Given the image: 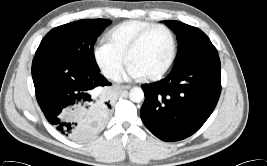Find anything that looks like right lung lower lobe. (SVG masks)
I'll list each match as a JSON object with an SVG mask.
<instances>
[{
	"mask_svg": "<svg viewBox=\"0 0 267 166\" xmlns=\"http://www.w3.org/2000/svg\"><path fill=\"white\" fill-rule=\"evenodd\" d=\"M36 98L48 121L64 132L70 124L60 122V113L69 103L90 101V90L111 83L98 71L85 68L58 54H36L32 63Z\"/></svg>",
	"mask_w": 267,
	"mask_h": 166,
	"instance_id": "obj_1",
	"label": "right lung lower lobe"
}]
</instances>
